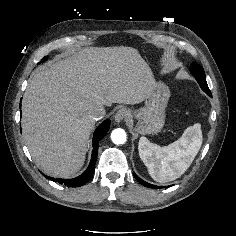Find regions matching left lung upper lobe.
Instances as JSON below:
<instances>
[{"mask_svg": "<svg viewBox=\"0 0 236 236\" xmlns=\"http://www.w3.org/2000/svg\"><path fill=\"white\" fill-rule=\"evenodd\" d=\"M191 73L195 76L197 82L199 83L202 90L207 93L209 96L211 95L210 89L206 82V77L203 68L197 64L192 63L190 67Z\"/></svg>", "mask_w": 236, "mask_h": 236, "instance_id": "1", "label": "left lung upper lobe"}]
</instances>
